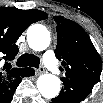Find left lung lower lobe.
Wrapping results in <instances>:
<instances>
[{"label": "left lung lower lobe", "instance_id": "1", "mask_svg": "<svg viewBox=\"0 0 103 103\" xmlns=\"http://www.w3.org/2000/svg\"><path fill=\"white\" fill-rule=\"evenodd\" d=\"M64 87L60 94L52 99L51 103H80L92 91L93 84L73 81L70 79L63 80Z\"/></svg>", "mask_w": 103, "mask_h": 103}]
</instances>
